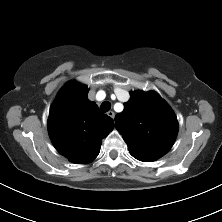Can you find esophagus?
<instances>
[{
  "mask_svg": "<svg viewBox=\"0 0 222 222\" xmlns=\"http://www.w3.org/2000/svg\"><path fill=\"white\" fill-rule=\"evenodd\" d=\"M107 115L111 118H114L115 117V113L113 111H109L107 112Z\"/></svg>",
  "mask_w": 222,
  "mask_h": 222,
  "instance_id": "obj_1",
  "label": "esophagus"
}]
</instances>
